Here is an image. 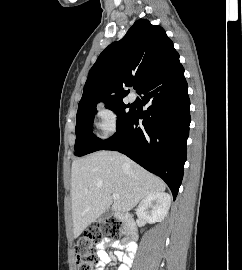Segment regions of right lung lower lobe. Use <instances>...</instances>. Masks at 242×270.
<instances>
[{
  "instance_id": "1",
  "label": "right lung lower lobe",
  "mask_w": 242,
  "mask_h": 270,
  "mask_svg": "<svg viewBox=\"0 0 242 270\" xmlns=\"http://www.w3.org/2000/svg\"><path fill=\"white\" fill-rule=\"evenodd\" d=\"M187 89L184 68L177 61L141 90L147 110L142 114L133 111L124 127L101 149L121 152L161 177L174 199L183 178L191 121Z\"/></svg>"
}]
</instances>
